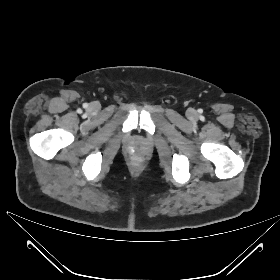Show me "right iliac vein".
Instances as JSON below:
<instances>
[{"label": "right iliac vein", "mask_w": 280, "mask_h": 280, "mask_svg": "<svg viewBox=\"0 0 280 280\" xmlns=\"http://www.w3.org/2000/svg\"><path fill=\"white\" fill-rule=\"evenodd\" d=\"M91 109L97 111V110L99 109V105H98L97 103H93V104L91 105Z\"/></svg>", "instance_id": "right-iliac-vein-1"}]
</instances>
